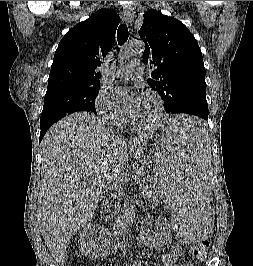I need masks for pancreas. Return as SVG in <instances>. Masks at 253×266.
<instances>
[{"label": "pancreas", "instance_id": "cf45deb5", "mask_svg": "<svg viewBox=\"0 0 253 266\" xmlns=\"http://www.w3.org/2000/svg\"><path fill=\"white\" fill-rule=\"evenodd\" d=\"M138 181L141 183V191L144 192L142 194L144 199L154 200L153 192L148 190L147 182H146L145 178L143 177V175H139L138 176ZM146 192H148V194ZM149 194H151V197H149ZM120 195H121V193H119L118 198H120ZM106 214H109V215L106 216V219H107V218L113 217L116 213L111 212L110 210H107Z\"/></svg>", "mask_w": 253, "mask_h": 266}]
</instances>
